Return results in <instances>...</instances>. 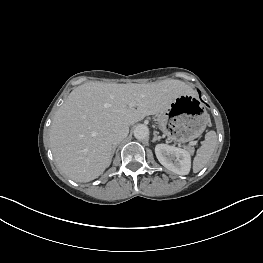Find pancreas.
Here are the masks:
<instances>
[{"instance_id":"obj_1","label":"pancreas","mask_w":263,"mask_h":263,"mask_svg":"<svg viewBox=\"0 0 263 263\" xmlns=\"http://www.w3.org/2000/svg\"><path fill=\"white\" fill-rule=\"evenodd\" d=\"M188 149H189L190 152L194 151V149L192 147H189Z\"/></svg>"}]
</instances>
